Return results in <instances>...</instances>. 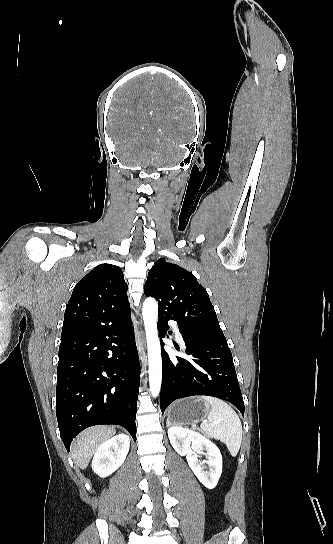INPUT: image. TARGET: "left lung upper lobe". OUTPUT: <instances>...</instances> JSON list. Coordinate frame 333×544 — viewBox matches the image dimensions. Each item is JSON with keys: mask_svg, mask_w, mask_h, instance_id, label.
<instances>
[{"mask_svg": "<svg viewBox=\"0 0 333 544\" xmlns=\"http://www.w3.org/2000/svg\"><path fill=\"white\" fill-rule=\"evenodd\" d=\"M144 292L158 301L159 313L167 314L180 327L224 336L208 293L182 267L158 259L148 273Z\"/></svg>", "mask_w": 333, "mask_h": 544, "instance_id": "1", "label": "left lung upper lobe"}]
</instances>
